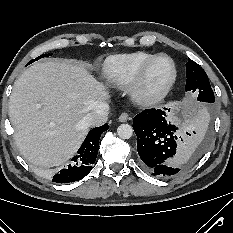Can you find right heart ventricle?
Returning a JSON list of instances; mask_svg holds the SVG:
<instances>
[{"instance_id": "e07e8e85", "label": "right heart ventricle", "mask_w": 233, "mask_h": 233, "mask_svg": "<svg viewBox=\"0 0 233 233\" xmlns=\"http://www.w3.org/2000/svg\"><path fill=\"white\" fill-rule=\"evenodd\" d=\"M156 54L137 51L128 54L110 56L103 65V75L106 82L113 87L128 86L141 66Z\"/></svg>"}]
</instances>
